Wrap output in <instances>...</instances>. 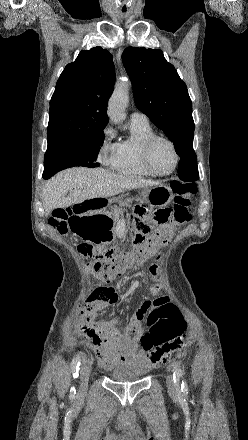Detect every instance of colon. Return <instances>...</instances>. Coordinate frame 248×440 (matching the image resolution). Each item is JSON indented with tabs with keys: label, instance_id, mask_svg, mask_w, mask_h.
<instances>
[{
	"label": "colon",
	"instance_id": "obj_1",
	"mask_svg": "<svg viewBox=\"0 0 248 440\" xmlns=\"http://www.w3.org/2000/svg\"><path fill=\"white\" fill-rule=\"evenodd\" d=\"M176 194V203L172 208H163L151 213L144 206H137L131 219L133 240L137 253L132 257H120L115 247L102 249L95 246H79V252L86 258H93L90 270L101 281L108 282L117 272L131 263H139L145 259L159 257V249L167 244L175 230L192 218V209L197 196L194 183L174 181L171 184ZM72 215L68 209H57L49 220V224L60 233L69 229ZM114 291L102 287L91 293L85 301V307L91 306L98 299H112ZM148 330L142 337V346L149 353L151 361L156 364L167 360L171 353L179 352L183 345L185 322L178 309L169 301L157 303L147 318Z\"/></svg>",
	"mask_w": 248,
	"mask_h": 440
}]
</instances>
